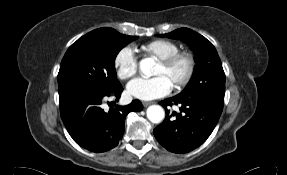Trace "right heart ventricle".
<instances>
[{
	"instance_id": "obj_1",
	"label": "right heart ventricle",
	"mask_w": 287,
	"mask_h": 175,
	"mask_svg": "<svg viewBox=\"0 0 287 175\" xmlns=\"http://www.w3.org/2000/svg\"><path fill=\"white\" fill-rule=\"evenodd\" d=\"M141 49L149 56L161 59L180 51V46L167 39H155L141 46Z\"/></svg>"
}]
</instances>
